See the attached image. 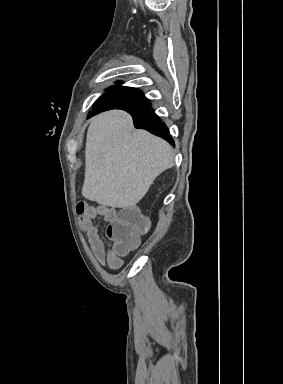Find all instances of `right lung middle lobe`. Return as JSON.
Instances as JSON below:
<instances>
[{
  "label": "right lung middle lobe",
  "instance_id": "dd1d6c3e",
  "mask_svg": "<svg viewBox=\"0 0 283 384\" xmlns=\"http://www.w3.org/2000/svg\"><path fill=\"white\" fill-rule=\"evenodd\" d=\"M116 107L145 110L150 107V102L140 90L134 88L112 87L93 105V109L97 110H106Z\"/></svg>",
  "mask_w": 283,
  "mask_h": 384
}]
</instances>
